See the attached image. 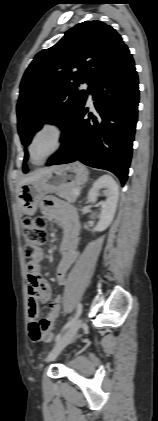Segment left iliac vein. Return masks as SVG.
<instances>
[{
  "label": "left iliac vein",
  "instance_id": "obj_1",
  "mask_svg": "<svg viewBox=\"0 0 158 421\" xmlns=\"http://www.w3.org/2000/svg\"><path fill=\"white\" fill-rule=\"evenodd\" d=\"M81 325L82 319L77 318L75 322L69 327V329L64 333L61 339L55 344L53 349L50 351L46 358V362L54 360L60 354V352L73 341Z\"/></svg>",
  "mask_w": 158,
  "mask_h": 421
}]
</instances>
